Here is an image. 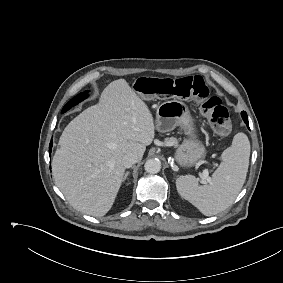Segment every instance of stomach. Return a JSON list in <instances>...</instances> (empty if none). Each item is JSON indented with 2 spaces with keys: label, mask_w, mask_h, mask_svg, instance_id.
<instances>
[{
  "label": "stomach",
  "mask_w": 283,
  "mask_h": 283,
  "mask_svg": "<svg viewBox=\"0 0 283 283\" xmlns=\"http://www.w3.org/2000/svg\"><path fill=\"white\" fill-rule=\"evenodd\" d=\"M179 126L187 138L178 146L175 159L184 167L194 166L206 156V149L197 139L196 128L187 105L174 99L166 104L161 103L156 111L155 127L165 133Z\"/></svg>",
  "instance_id": "0dacf381"
}]
</instances>
